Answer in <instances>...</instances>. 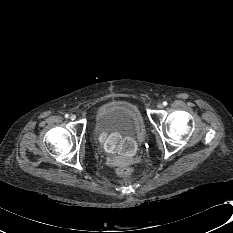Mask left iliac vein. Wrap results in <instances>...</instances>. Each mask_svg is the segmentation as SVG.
<instances>
[{
  "label": "left iliac vein",
  "instance_id": "obj_1",
  "mask_svg": "<svg viewBox=\"0 0 233 233\" xmlns=\"http://www.w3.org/2000/svg\"><path fill=\"white\" fill-rule=\"evenodd\" d=\"M157 108H158V109H162V108H163V104H162V103H158V104H157Z\"/></svg>",
  "mask_w": 233,
  "mask_h": 233
}]
</instances>
